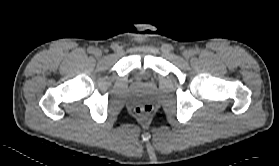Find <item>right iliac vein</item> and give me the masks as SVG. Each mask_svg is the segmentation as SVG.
<instances>
[{"instance_id":"obj_1","label":"right iliac vein","mask_w":279,"mask_h":166,"mask_svg":"<svg viewBox=\"0 0 279 166\" xmlns=\"http://www.w3.org/2000/svg\"><path fill=\"white\" fill-rule=\"evenodd\" d=\"M94 55L96 56V57H100L101 55H102V51L101 50H99V49H94Z\"/></svg>"}]
</instances>
